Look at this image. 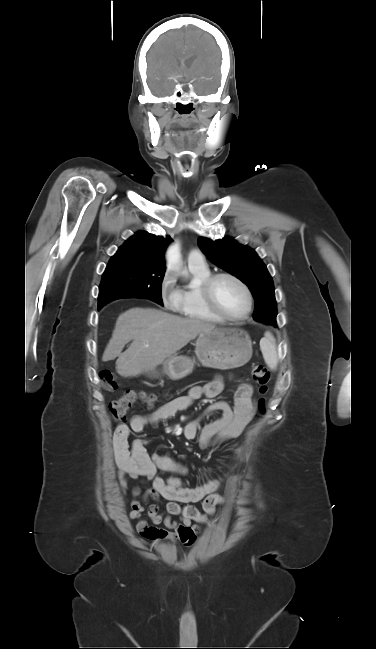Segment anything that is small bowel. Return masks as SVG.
I'll use <instances>...</instances> for the list:
<instances>
[{
  "label": "small bowel",
  "mask_w": 376,
  "mask_h": 649,
  "mask_svg": "<svg viewBox=\"0 0 376 649\" xmlns=\"http://www.w3.org/2000/svg\"><path fill=\"white\" fill-rule=\"evenodd\" d=\"M223 385L222 377L216 376L202 386L191 387L188 395L174 398L148 415H134L129 424H119L113 432V450L121 492L127 496L129 483L133 480L142 479L143 482L152 484L151 488L145 491L142 501L138 500L141 495L140 486L132 489L133 499L130 501L129 512V519L137 521L136 531L141 540L152 541V547L164 545L161 543L163 540L192 545L200 530L199 524L205 523L208 516L214 513L216 506L223 503V498L217 494L222 479L217 477L198 486H189L180 478L188 472L185 465L170 457L149 453L145 439H137L130 444L129 435L131 432L143 431L148 425L174 417L203 396L214 398L221 392ZM253 393L252 386L243 383L235 394L233 407L226 401L217 400L205 408L203 415L219 412L220 416L201 430L198 438L201 448L231 442L232 454L235 459L239 458L241 449L236 440L254 416ZM199 421L200 418L191 420L184 426L182 433L186 439L196 438ZM159 471L170 473L172 476L160 477ZM160 499L167 501L164 511L156 503ZM200 501H203V512L192 505ZM144 512L152 524L142 518ZM173 517H178V520ZM158 525L165 528H159Z\"/></svg>",
  "instance_id": "1"
}]
</instances>
